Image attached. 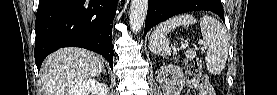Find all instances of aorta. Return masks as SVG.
Wrapping results in <instances>:
<instances>
[{
    "mask_svg": "<svg viewBox=\"0 0 277 95\" xmlns=\"http://www.w3.org/2000/svg\"><path fill=\"white\" fill-rule=\"evenodd\" d=\"M148 0H131L129 22L133 32H139L146 19Z\"/></svg>",
    "mask_w": 277,
    "mask_h": 95,
    "instance_id": "762f6f07",
    "label": "aorta"
}]
</instances>
